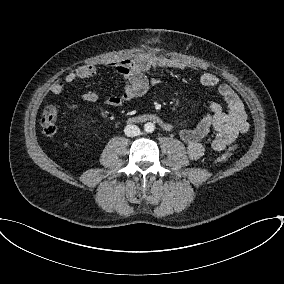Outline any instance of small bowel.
I'll list each match as a JSON object with an SVG mask.
<instances>
[{
	"label": "small bowel",
	"mask_w": 284,
	"mask_h": 284,
	"mask_svg": "<svg viewBox=\"0 0 284 284\" xmlns=\"http://www.w3.org/2000/svg\"><path fill=\"white\" fill-rule=\"evenodd\" d=\"M180 67L178 63L151 55H140L110 64L112 71L123 79L124 91L121 95L109 97L105 103L108 106L117 107L144 96L151 86L160 83L158 79L150 78L146 74L149 70ZM96 72V67L93 65H81L69 72L62 81L54 83L51 86V92L59 95L63 92L65 85L77 79L92 78ZM199 81L205 87L215 88L225 101L227 108L212 102L208 105L204 117L194 128L180 130V138L185 143L187 154L192 160L204 155L206 143H209L213 150L222 152L249 129L244 104L228 84L222 83L215 74L208 72L201 73ZM82 100L86 103H95L98 95L94 90H88L82 95Z\"/></svg>",
	"instance_id": "1"
}]
</instances>
